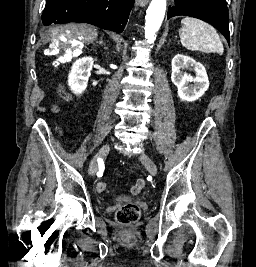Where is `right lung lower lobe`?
Wrapping results in <instances>:
<instances>
[{
    "mask_svg": "<svg viewBox=\"0 0 256 267\" xmlns=\"http://www.w3.org/2000/svg\"><path fill=\"white\" fill-rule=\"evenodd\" d=\"M133 0H47L42 23H89L121 33Z\"/></svg>",
    "mask_w": 256,
    "mask_h": 267,
    "instance_id": "right-lung-lower-lobe-1",
    "label": "right lung lower lobe"
}]
</instances>
